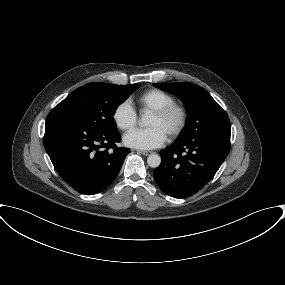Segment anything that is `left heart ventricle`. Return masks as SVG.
<instances>
[{"instance_id": "left-heart-ventricle-1", "label": "left heart ventricle", "mask_w": 285, "mask_h": 285, "mask_svg": "<svg viewBox=\"0 0 285 285\" xmlns=\"http://www.w3.org/2000/svg\"><path fill=\"white\" fill-rule=\"evenodd\" d=\"M177 116L171 115L167 118H160L154 114H151L147 120V126L159 127L166 135L176 125Z\"/></svg>"}]
</instances>
